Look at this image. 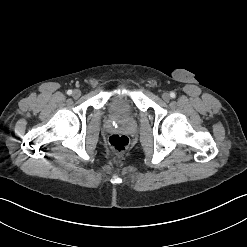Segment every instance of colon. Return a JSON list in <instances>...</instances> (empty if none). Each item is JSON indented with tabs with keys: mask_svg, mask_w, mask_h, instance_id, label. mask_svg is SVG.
<instances>
[{
	"mask_svg": "<svg viewBox=\"0 0 247 247\" xmlns=\"http://www.w3.org/2000/svg\"><path fill=\"white\" fill-rule=\"evenodd\" d=\"M108 145L116 153H122L129 145V138L123 134H112L108 137Z\"/></svg>",
	"mask_w": 247,
	"mask_h": 247,
	"instance_id": "1",
	"label": "colon"
}]
</instances>
